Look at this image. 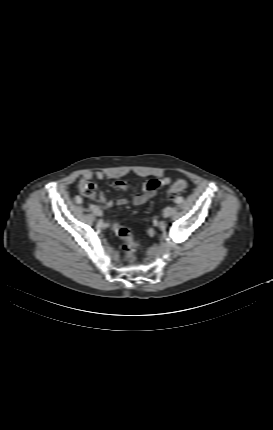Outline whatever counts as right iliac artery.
I'll return each instance as SVG.
<instances>
[{
    "label": "right iliac artery",
    "instance_id": "1",
    "mask_svg": "<svg viewBox=\"0 0 273 430\" xmlns=\"http://www.w3.org/2000/svg\"><path fill=\"white\" fill-rule=\"evenodd\" d=\"M76 203H79V204H82L83 203V200L81 199V197H79V196H76Z\"/></svg>",
    "mask_w": 273,
    "mask_h": 430
}]
</instances>
